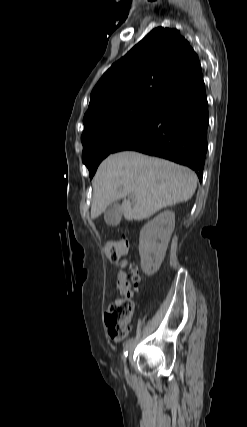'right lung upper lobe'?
<instances>
[{"instance_id": "cb5924a9", "label": "right lung upper lobe", "mask_w": 247, "mask_h": 427, "mask_svg": "<svg viewBox=\"0 0 247 427\" xmlns=\"http://www.w3.org/2000/svg\"><path fill=\"white\" fill-rule=\"evenodd\" d=\"M201 75L198 56L180 32L155 28L101 77L91 92L84 126L129 107L158 106Z\"/></svg>"}]
</instances>
